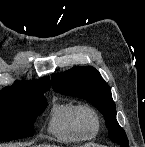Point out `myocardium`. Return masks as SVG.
<instances>
[{"label":"myocardium","mask_w":145,"mask_h":147,"mask_svg":"<svg viewBox=\"0 0 145 147\" xmlns=\"http://www.w3.org/2000/svg\"><path fill=\"white\" fill-rule=\"evenodd\" d=\"M79 118L85 128L98 132L101 125V118L98 111L93 106L82 105Z\"/></svg>","instance_id":"1"}]
</instances>
